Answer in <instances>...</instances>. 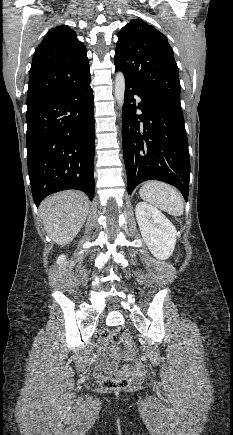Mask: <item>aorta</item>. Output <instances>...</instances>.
<instances>
[{
	"instance_id": "obj_1",
	"label": "aorta",
	"mask_w": 233,
	"mask_h": 435,
	"mask_svg": "<svg viewBox=\"0 0 233 435\" xmlns=\"http://www.w3.org/2000/svg\"><path fill=\"white\" fill-rule=\"evenodd\" d=\"M114 94L119 109H122L125 97V77L122 72H118L115 76Z\"/></svg>"
}]
</instances>
